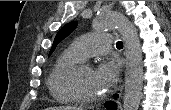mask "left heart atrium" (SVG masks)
<instances>
[{
  "label": "left heart atrium",
  "instance_id": "39dd6f15",
  "mask_svg": "<svg viewBox=\"0 0 171 110\" xmlns=\"http://www.w3.org/2000/svg\"><path fill=\"white\" fill-rule=\"evenodd\" d=\"M120 64L116 60L105 61L94 71L95 78L104 91L109 90L118 80Z\"/></svg>",
  "mask_w": 171,
  "mask_h": 110
}]
</instances>
